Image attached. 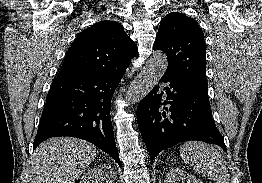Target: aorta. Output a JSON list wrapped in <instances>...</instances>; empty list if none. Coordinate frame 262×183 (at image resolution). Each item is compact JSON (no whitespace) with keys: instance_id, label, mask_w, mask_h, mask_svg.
Masks as SVG:
<instances>
[{"instance_id":"aorta-1","label":"aorta","mask_w":262,"mask_h":183,"mask_svg":"<svg viewBox=\"0 0 262 183\" xmlns=\"http://www.w3.org/2000/svg\"><path fill=\"white\" fill-rule=\"evenodd\" d=\"M168 66L167 57L162 52L154 53L146 62L139 75L131 83L126 101L135 104L143 99L159 82Z\"/></svg>"}]
</instances>
